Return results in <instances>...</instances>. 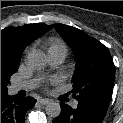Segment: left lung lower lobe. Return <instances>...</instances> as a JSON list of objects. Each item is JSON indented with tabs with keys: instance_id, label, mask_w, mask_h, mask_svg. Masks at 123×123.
<instances>
[{
	"instance_id": "obj_1",
	"label": "left lung lower lobe",
	"mask_w": 123,
	"mask_h": 123,
	"mask_svg": "<svg viewBox=\"0 0 123 123\" xmlns=\"http://www.w3.org/2000/svg\"><path fill=\"white\" fill-rule=\"evenodd\" d=\"M60 106L61 113L53 123H102L106 115V111L82 103H78L76 109L64 103H60Z\"/></svg>"
}]
</instances>
